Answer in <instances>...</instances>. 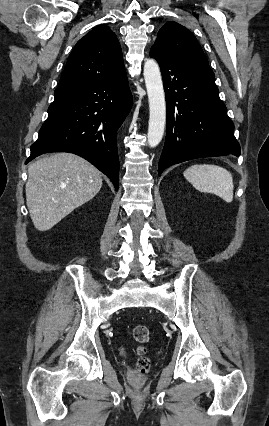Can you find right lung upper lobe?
Masks as SVG:
<instances>
[{
    "mask_svg": "<svg viewBox=\"0 0 269 426\" xmlns=\"http://www.w3.org/2000/svg\"><path fill=\"white\" fill-rule=\"evenodd\" d=\"M124 72L122 51L116 34L108 26L99 25L75 45L55 92L106 81Z\"/></svg>",
    "mask_w": 269,
    "mask_h": 426,
    "instance_id": "cb5924a9",
    "label": "right lung upper lobe"
}]
</instances>
